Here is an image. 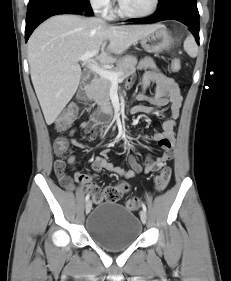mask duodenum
Listing matches in <instances>:
<instances>
[{"label": "duodenum", "mask_w": 231, "mask_h": 281, "mask_svg": "<svg viewBox=\"0 0 231 281\" xmlns=\"http://www.w3.org/2000/svg\"><path fill=\"white\" fill-rule=\"evenodd\" d=\"M93 80L87 81L81 85L77 92V98L82 103H87L90 96L91 86ZM92 122L97 125H105L108 124L112 119V112L110 110H106L103 112L93 113L90 116Z\"/></svg>", "instance_id": "obj_1"}]
</instances>
